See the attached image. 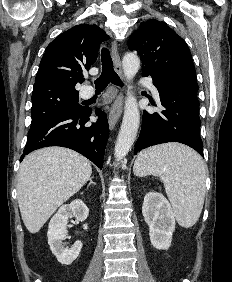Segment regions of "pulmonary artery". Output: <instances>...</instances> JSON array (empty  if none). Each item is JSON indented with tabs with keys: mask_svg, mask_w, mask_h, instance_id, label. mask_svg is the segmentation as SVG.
Returning <instances> with one entry per match:
<instances>
[{
	"mask_svg": "<svg viewBox=\"0 0 232 282\" xmlns=\"http://www.w3.org/2000/svg\"><path fill=\"white\" fill-rule=\"evenodd\" d=\"M141 83H143L144 85H146L150 90L151 92L153 93V95L155 97H159V93H158V90L156 89V87L151 83L150 80L148 79H142L141 80ZM94 95V91L93 89L90 87V86H87L85 87L82 92H81V97L83 99H89L91 98L92 96Z\"/></svg>",
	"mask_w": 232,
	"mask_h": 282,
	"instance_id": "pulmonary-artery-1",
	"label": "pulmonary artery"
}]
</instances>
